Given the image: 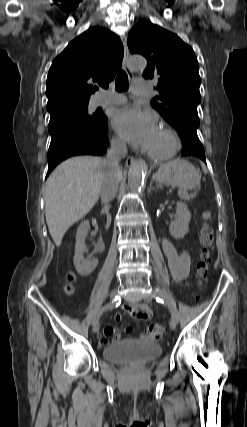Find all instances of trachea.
<instances>
[{"instance_id": "obj_1", "label": "trachea", "mask_w": 247, "mask_h": 427, "mask_svg": "<svg viewBox=\"0 0 247 427\" xmlns=\"http://www.w3.org/2000/svg\"><path fill=\"white\" fill-rule=\"evenodd\" d=\"M115 89L118 92L127 91L129 88L128 76L124 71H120L116 77Z\"/></svg>"}]
</instances>
